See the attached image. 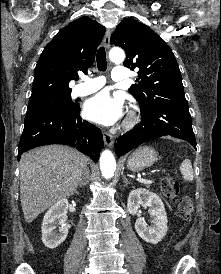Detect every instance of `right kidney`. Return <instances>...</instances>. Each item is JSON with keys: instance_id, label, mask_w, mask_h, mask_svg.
Wrapping results in <instances>:
<instances>
[{"instance_id": "obj_1", "label": "right kidney", "mask_w": 221, "mask_h": 274, "mask_svg": "<svg viewBox=\"0 0 221 274\" xmlns=\"http://www.w3.org/2000/svg\"><path fill=\"white\" fill-rule=\"evenodd\" d=\"M68 200L62 199L55 203L45 214L42 223V242L49 249L58 247L68 235L67 211ZM60 225L59 231L55 229Z\"/></svg>"}]
</instances>
